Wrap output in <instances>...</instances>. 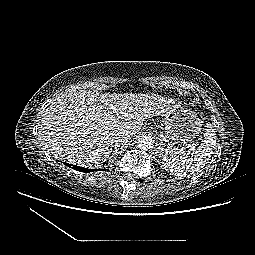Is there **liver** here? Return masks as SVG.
<instances>
[{
	"mask_svg": "<svg viewBox=\"0 0 255 255\" xmlns=\"http://www.w3.org/2000/svg\"><path fill=\"white\" fill-rule=\"evenodd\" d=\"M172 103L153 93L64 94L42 113L38 137L55 158L81 166L100 164L116 146L117 133L135 135L145 119L165 113Z\"/></svg>",
	"mask_w": 255,
	"mask_h": 255,
	"instance_id": "obj_1",
	"label": "liver"
}]
</instances>
